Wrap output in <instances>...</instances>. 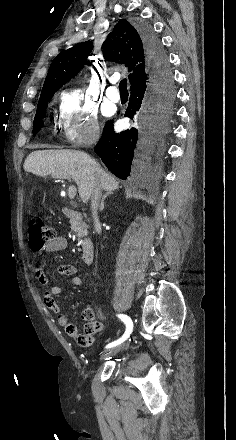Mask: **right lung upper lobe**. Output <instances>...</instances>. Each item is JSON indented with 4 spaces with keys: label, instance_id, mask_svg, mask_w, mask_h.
Returning <instances> with one entry per match:
<instances>
[{
    "label": "right lung upper lobe",
    "instance_id": "cb5924a9",
    "mask_svg": "<svg viewBox=\"0 0 236 440\" xmlns=\"http://www.w3.org/2000/svg\"><path fill=\"white\" fill-rule=\"evenodd\" d=\"M106 61L125 65L130 81V90L149 80L148 61L139 29L121 19L103 42ZM92 42H82L58 54L47 74L40 99L55 93L84 67L92 51Z\"/></svg>",
    "mask_w": 236,
    "mask_h": 440
}]
</instances>
